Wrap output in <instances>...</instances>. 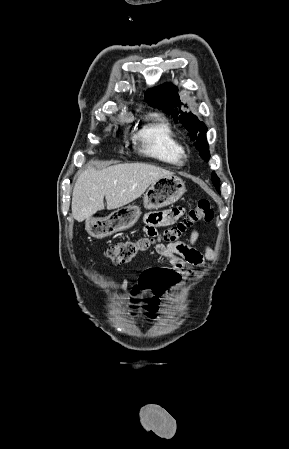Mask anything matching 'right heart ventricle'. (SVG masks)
Wrapping results in <instances>:
<instances>
[{"instance_id": "1", "label": "right heart ventricle", "mask_w": 289, "mask_h": 449, "mask_svg": "<svg viewBox=\"0 0 289 449\" xmlns=\"http://www.w3.org/2000/svg\"><path fill=\"white\" fill-rule=\"evenodd\" d=\"M138 137L145 154L173 165L183 163L185 149L177 140L170 124L162 116L151 114L138 131Z\"/></svg>"}]
</instances>
